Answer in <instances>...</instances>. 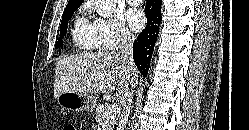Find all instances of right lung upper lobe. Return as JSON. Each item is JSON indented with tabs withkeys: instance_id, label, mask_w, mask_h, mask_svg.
Segmentation results:
<instances>
[{
	"instance_id": "cb5924a9",
	"label": "right lung upper lobe",
	"mask_w": 249,
	"mask_h": 130,
	"mask_svg": "<svg viewBox=\"0 0 249 130\" xmlns=\"http://www.w3.org/2000/svg\"><path fill=\"white\" fill-rule=\"evenodd\" d=\"M83 2V0H69L68 1V5L70 4H80Z\"/></svg>"
}]
</instances>
